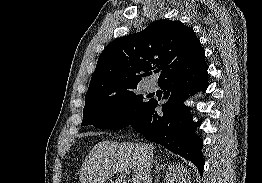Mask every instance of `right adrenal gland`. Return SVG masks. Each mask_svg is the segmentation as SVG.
<instances>
[{
	"label": "right adrenal gland",
	"instance_id": "2a0ac1e0",
	"mask_svg": "<svg viewBox=\"0 0 262 183\" xmlns=\"http://www.w3.org/2000/svg\"><path fill=\"white\" fill-rule=\"evenodd\" d=\"M165 168V164H161L158 163V161L156 160V172H157V176H156V180L155 183H157L159 181V172Z\"/></svg>",
	"mask_w": 262,
	"mask_h": 183
}]
</instances>
